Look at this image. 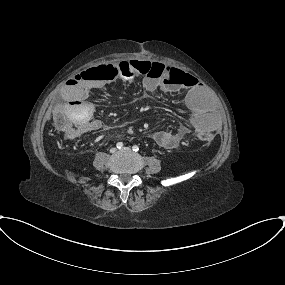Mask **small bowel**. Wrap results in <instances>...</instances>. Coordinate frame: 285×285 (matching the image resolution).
Wrapping results in <instances>:
<instances>
[{"label": "small bowel", "mask_w": 285, "mask_h": 285, "mask_svg": "<svg viewBox=\"0 0 285 285\" xmlns=\"http://www.w3.org/2000/svg\"><path fill=\"white\" fill-rule=\"evenodd\" d=\"M100 66L92 67L94 69ZM91 68V69H92ZM189 77L188 84L169 87L161 84L153 78L143 79L145 90L154 92L163 90L174 94H183L184 106L190 113L189 126H179L174 130H161L154 132L151 137L153 141L164 149H173L177 147L184 137L193 132L199 134H211L217 130L218 122L215 116L206 109L207 95L204 88L194 82V77L184 72ZM117 75L111 72L104 74L100 79H86L81 76L71 78L62 88L61 94L64 103L57 105L54 109L64 108L66 110L76 111L75 131L69 133V137H78L89 131L98 130L102 127V121L91 118L94 113V107L88 101V95L91 90L102 88L115 81Z\"/></svg>", "instance_id": "1"}]
</instances>
